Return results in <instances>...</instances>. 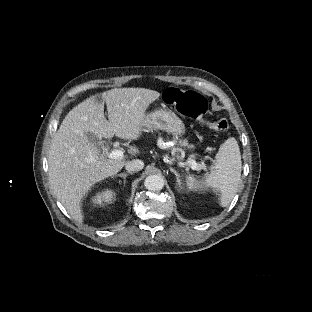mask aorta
<instances>
[{"label": "aorta", "mask_w": 312, "mask_h": 312, "mask_svg": "<svg viewBox=\"0 0 312 312\" xmlns=\"http://www.w3.org/2000/svg\"><path fill=\"white\" fill-rule=\"evenodd\" d=\"M164 186V181L161 176L150 175L144 180V187L146 190L158 191L161 190Z\"/></svg>", "instance_id": "762f6f07"}]
</instances>
